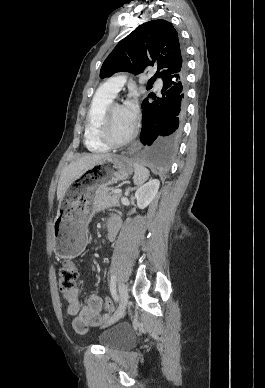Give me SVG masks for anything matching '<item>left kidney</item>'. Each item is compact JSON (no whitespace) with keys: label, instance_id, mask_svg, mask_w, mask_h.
<instances>
[{"label":"left kidney","instance_id":"obj_1","mask_svg":"<svg viewBox=\"0 0 265 388\" xmlns=\"http://www.w3.org/2000/svg\"><path fill=\"white\" fill-rule=\"evenodd\" d=\"M160 182L159 180H149L144 186L138 188L135 198L137 200V206L140 210L147 208L151 202H153L158 190Z\"/></svg>","mask_w":265,"mask_h":388}]
</instances>
